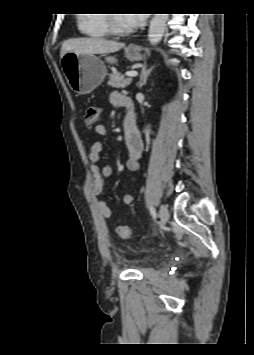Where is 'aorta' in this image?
Wrapping results in <instances>:
<instances>
[{"label": "aorta", "mask_w": 254, "mask_h": 355, "mask_svg": "<svg viewBox=\"0 0 254 355\" xmlns=\"http://www.w3.org/2000/svg\"><path fill=\"white\" fill-rule=\"evenodd\" d=\"M167 19V14H154L148 31V39L151 44L155 45L161 41L166 29Z\"/></svg>", "instance_id": "obj_1"}]
</instances>
